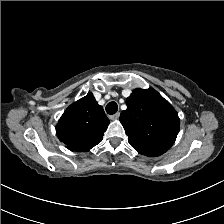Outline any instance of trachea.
<instances>
[{
  "label": "trachea",
  "instance_id": "obj_1",
  "mask_svg": "<svg viewBox=\"0 0 224 224\" xmlns=\"http://www.w3.org/2000/svg\"><path fill=\"white\" fill-rule=\"evenodd\" d=\"M118 110V105L116 102H109L107 105H106V111L108 114L110 115H113L117 112Z\"/></svg>",
  "mask_w": 224,
  "mask_h": 224
}]
</instances>
